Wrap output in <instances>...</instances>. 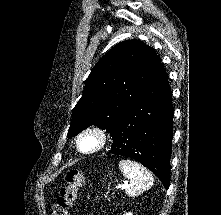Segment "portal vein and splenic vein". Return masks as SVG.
I'll use <instances>...</instances> for the list:
<instances>
[{
  "instance_id": "18ae733b",
  "label": "portal vein and splenic vein",
  "mask_w": 221,
  "mask_h": 215,
  "mask_svg": "<svg viewBox=\"0 0 221 215\" xmlns=\"http://www.w3.org/2000/svg\"><path fill=\"white\" fill-rule=\"evenodd\" d=\"M127 183L128 182L126 181L124 184H120V185L116 186V189L117 190L124 189L126 187Z\"/></svg>"
}]
</instances>
